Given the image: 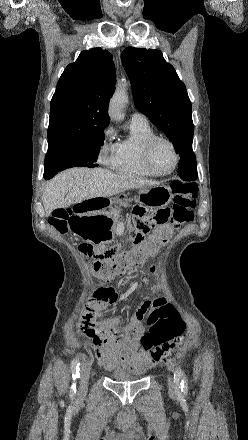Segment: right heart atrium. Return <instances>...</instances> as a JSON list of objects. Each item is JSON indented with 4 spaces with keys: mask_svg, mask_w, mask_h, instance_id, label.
Here are the masks:
<instances>
[{
    "mask_svg": "<svg viewBox=\"0 0 248 440\" xmlns=\"http://www.w3.org/2000/svg\"><path fill=\"white\" fill-rule=\"evenodd\" d=\"M114 132L110 127L103 131V140L99 149V159L106 165L113 167L115 161V154L117 143L112 142Z\"/></svg>",
    "mask_w": 248,
    "mask_h": 440,
    "instance_id": "right-heart-atrium-1",
    "label": "right heart atrium"
}]
</instances>
